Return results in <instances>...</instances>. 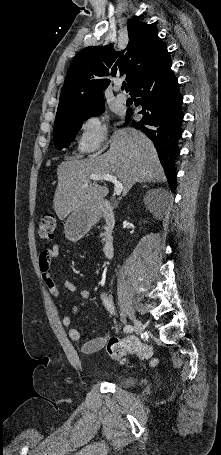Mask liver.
Segmentation results:
<instances>
[{
  "instance_id": "6515ba94",
  "label": "liver",
  "mask_w": 221,
  "mask_h": 455,
  "mask_svg": "<svg viewBox=\"0 0 221 455\" xmlns=\"http://www.w3.org/2000/svg\"><path fill=\"white\" fill-rule=\"evenodd\" d=\"M91 174L116 176L123 184L124 195L137 182L165 180L156 149L148 137L133 128L117 130L111 137L110 149L103 155L59 165L53 206L60 220L74 209L101 201L108 194L107 187L90 181Z\"/></svg>"
}]
</instances>
